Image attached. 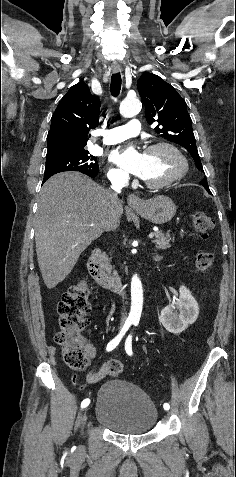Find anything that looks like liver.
I'll use <instances>...</instances> for the list:
<instances>
[{
    "label": "liver",
    "mask_w": 236,
    "mask_h": 477,
    "mask_svg": "<svg viewBox=\"0 0 236 477\" xmlns=\"http://www.w3.org/2000/svg\"><path fill=\"white\" fill-rule=\"evenodd\" d=\"M112 192L78 172L56 174L42 186L36 215L38 265L47 288L71 272L81 253L109 230ZM118 224L123 207L117 200Z\"/></svg>",
    "instance_id": "liver-1"
}]
</instances>
